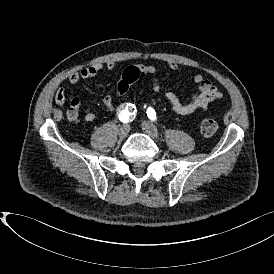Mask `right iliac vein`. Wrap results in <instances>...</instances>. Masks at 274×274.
I'll return each mask as SVG.
<instances>
[{
  "instance_id": "1",
  "label": "right iliac vein",
  "mask_w": 274,
  "mask_h": 274,
  "mask_svg": "<svg viewBox=\"0 0 274 274\" xmlns=\"http://www.w3.org/2000/svg\"><path fill=\"white\" fill-rule=\"evenodd\" d=\"M130 127L128 124H123L118 130V136L120 139H124L129 133Z\"/></svg>"
}]
</instances>
